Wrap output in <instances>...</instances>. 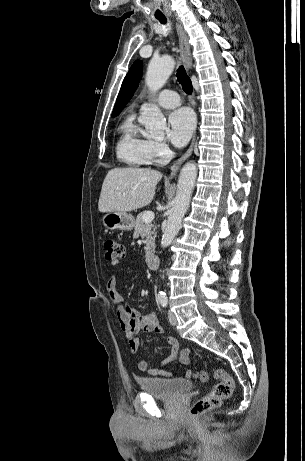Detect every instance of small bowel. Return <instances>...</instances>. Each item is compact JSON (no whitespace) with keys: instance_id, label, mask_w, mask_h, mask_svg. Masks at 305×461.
Listing matches in <instances>:
<instances>
[{"instance_id":"obj_1","label":"small bowel","mask_w":305,"mask_h":461,"mask_svg":"<svg viewBox=\"0 0 305 461\" xmlns=\"http://www.w3.org/2000/svg\"><path fill=\"white\" fill-rule=\"evenodd\" d=\"M107 290L116 304V317L119 325L124 332L125 339L132 353H136L139 348L138 334L140 332L162 334L163 329L159 324L158 318L154 312H149L142 315L140 310L124 302L123 297L117 289V277L112 276L107 283ZM166 343L169 346L168 355L160 362L157 367L149 368L148 358L143 357L138 363V369L141 372H147L152 376L170 377L172 372L163 369L164 366L173 362L178 356L179 360L184 365L190 364V349L185 348L180 350L178 340L173 336L166 337ZM191 372L187 370L185 375L188 376Z\"/></svg>"}]
</instances>
